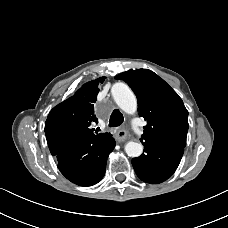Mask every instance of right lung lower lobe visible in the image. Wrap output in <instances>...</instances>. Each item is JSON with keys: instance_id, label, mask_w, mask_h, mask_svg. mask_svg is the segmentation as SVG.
<instances>
[{"instance_id": "1", "label": "right lung lower lobe", "mask_w": 228, "mask_h": 228, "mask_svg": "<svg viewBox=\"0 0 228 228\" xmlns=\"http://www.w3.org/2000/svg\"><path fill=\"white\" fill-rule=\"evenodd\" d=\"M115 144L111 136H81L49 146V149L57 158L59 170L68 180L80 186H91L103 178L107 158Z\"/></svg>"}]
</instances>
